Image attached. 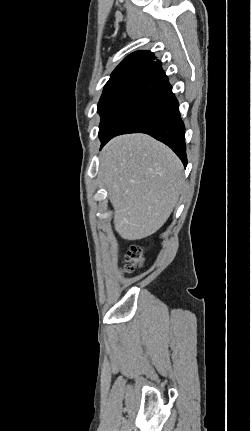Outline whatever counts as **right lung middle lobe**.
<instances>
[{"mask_svg": "<svg viewBox=\"0 0 251 431\" xmlns=\"http://www.w3.org/2000/svg\"><path fill=\"white\" fill-rule=\"evenodd\" d=\"M147 70L144 66H128L114 72L104 87L97 112L101 116L99 135H102L110 122L137 86Z\"/></svg>", "mask_w": 251, "mask_h": 431, "instance_id": "dd1d6c3e", "label": "right lung middle lobe"}]
</instances>
